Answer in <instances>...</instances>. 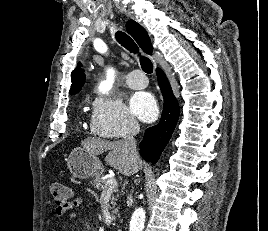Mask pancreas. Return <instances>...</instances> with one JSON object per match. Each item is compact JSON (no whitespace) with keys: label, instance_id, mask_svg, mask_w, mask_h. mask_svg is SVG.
Here are the masks:
<instances>
[{"label":"pancreas","instance_id":"obj_1","mask_svg":"<svg viewBox=\"0 0 268 231\" xmlns=\"http://www.w3.org/2000/svg\"><path fill=\"white\" fill-rule=\"evenodd\" d=\"M106 181H107V179H102L101 177H96L95 180L93 181V186L95 188H97L98 190H104L105 187H106ZM113 192L114 193H117L118 192V190H117L116 187L113 189ZM116 197H117V195L116 196L112 195V201H111V203H112L113 206H115V204H116L115 203ZM116 212H117V210L115 209L113 211V213H116Z\"/></svg>","mask_w":268,"mask_h":231}]
</instances>
